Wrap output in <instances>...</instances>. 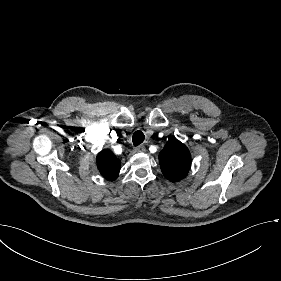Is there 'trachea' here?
Returning a JSON list of instances; mask_svg holds the SVG:
<instances>
[{
  "mask_svg": "<svg viewBox=\"0 0 281 281\" xmlns=\"http://www.w3.org/2000/svg\"><path fill=\"white\" fill-rule=\"evenodd\" d=\"M145 139V135L142 131L138 130L134 132L132 136L133 145L136 147L140 145Z\"/></svg>",
  "mask_w": 281,
  "mask_h": 281,
  "instance_id": "1",
  "label": "trachea"
}]
</instances>
